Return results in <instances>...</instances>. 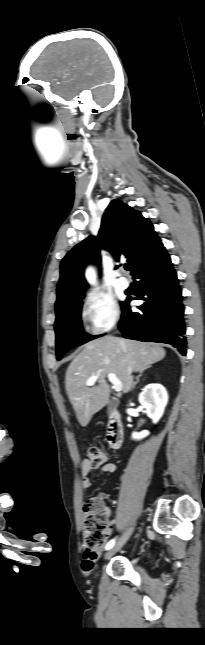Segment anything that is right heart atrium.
Listing matches in <instances>:
<instances>
[{
	"instance_id": "obj_1",
	"label": "right heart atrium",
	"mask_w": 205,
	"mask_h": 645,
	"mask_svg": "<svg viewBox=\"0 0 205 645\" xmlns=\"http://www.w3.org/2000/svg\"><path fill=\"white\" fill-rule=\"evenodd\" d=\"M81 314L88 324V331L95 335L112 330L121 317L116 301L110 295L101 292H91L85 296Z\"/></svg>"
}]
</instances>
